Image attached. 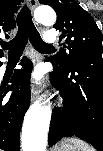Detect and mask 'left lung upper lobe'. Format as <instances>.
Returning <instances> with one entry per match:
<instances>
[{
	"mask_svg": "<svg viewBox=\"0 0 103 151\" xmlns=\"http://www.w3.org/2000/svg\"><path fill=\"white\" fill-rule=\"evenodd\" d=\"M50 5L57 13L54 28L63 32L64 48L49 60L61 69H66L81 55L93 52L103 53L102 34L93 17L75 0H40Z\"/></svg>",
	"mask_w": 103,
	"mask_h": 151,
	"instance_id": "obj_1",
	"label": "left lung upper lobe"
}]
</instances>
